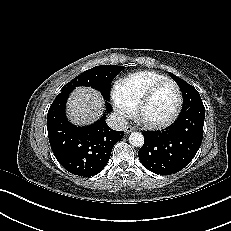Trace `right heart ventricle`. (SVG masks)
Wrapping results in <instances>:
<instances>
[{
	"label": "right heart ventricle",
	"mask_w": 231,
	"mask_h": 231,
	"mask_svg": "<svg viewBox=\"0 0 231 231\" xmlns=\"http://www.w3.org/2000/svg\"><path fill=\"white\" fill-rule=\"evenodd\" d=\"M163 79L164 76L154 71L137 72L120 81L116 86L115 94L131 109L152 85Z\"/></svg>",
	"instance_id": "obj_1"
}]
</instances>
